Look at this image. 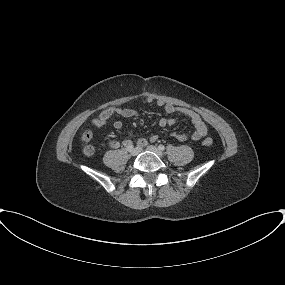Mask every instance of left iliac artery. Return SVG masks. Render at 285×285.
<instances>
[{"label": "left iliac artery", "instance_id": "44dca946", "mask_svg": "<svg viewBox=\"0 0 285 285\" xmlns=\"http://www.w3.org/2000/svg\"><path fill=\"white\" fill-rule=\"evenodd\" d=\"M158 148H159L161 151H164V150H165V146H164V145H162V144H161V145H159V146H158Z\"/></svg>", "mask_w": 285, "mask_h": 285}]
</instances>
